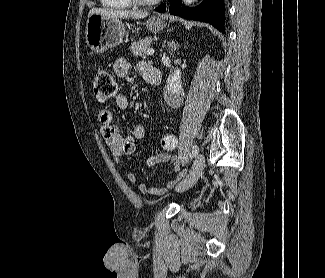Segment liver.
Returning a JSON list of instances; mask_svg holds the SVG:
<instances>
[{"mask_svg":"<svg viewBox=\"0 0 325 278\" xmlns=\"http://www.w3.org/2000/svg\"><path fill=\"white\" fill-rule=\"evenodd\" d=\"M94 13L103 15L105 17L110 18H132V19H142L148 16V12H141V11H126V10H115L110 8H92L89 11V15Z\"/></svg>","mask_w":325,"mask_h":278,"instance_id":"obj_1","label":"liver"}]
</instances>
